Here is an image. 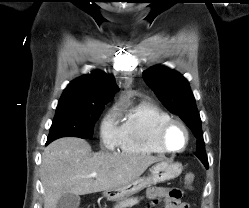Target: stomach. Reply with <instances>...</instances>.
<instances>
[{
    "label": "stomach",
    "instance_id": "obj_1",
    "mask_svg": "<svg viewBox=\"0 0 249 208\" xmlns=\"http://www.w3.org/2000/svg\"><path fill=\"white\" fill-rule=\"evenodd\" d=\"M181 172L182 165L180 163L162 160L149 169L147 176L139 177L127 185L104 191L103 194L108 200H119L138 193L153 184L174 179Z\"/></svg>",
    "mask_w": 249,
    "mask_h": 208
}]
</instances>
